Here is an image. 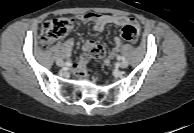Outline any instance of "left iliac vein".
<instances>
[{
    "instance_id": "1",
    "label": "left iliac vein",
    "mask_w": 194,
    "mask_h": 133,
    "mask_svg": "<svg viewBox=\"0 0 194 133\" xmlns=\"http://www.w3.org/2000/svg\"><path fill=\"white\" fill-rule=\"evenodd\" d=\"M129 65L128 61L127 60H123L119 63V67L120 68H127Z\"/></svg>"
}]
</instances>
